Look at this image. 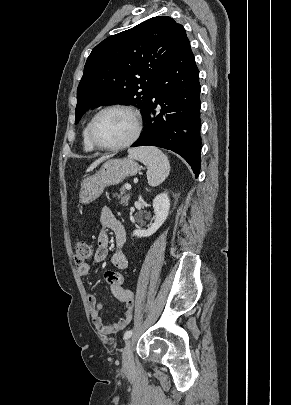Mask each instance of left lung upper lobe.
<instances>
[{
    "mask_svg": "<svg viewBox=\"0 0 291 405\" xmlns=\"http://www.w3.org/2000/svg\"><path fill=\"white\" fill-rule=\"evenodd\" d=\"M186 38L181 24L158 16L103 40L86 61L75 124L86 111L104 104L134 105L143 115L154 82Z\"/></svg>",
    "mask_w": 291,
    "mask_h": 405,
    "instance_id": "5c2ea615",
    "label": "left lung upper lobe"
}]
</instances>
